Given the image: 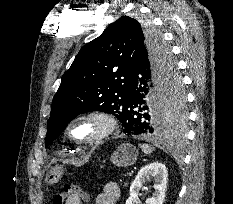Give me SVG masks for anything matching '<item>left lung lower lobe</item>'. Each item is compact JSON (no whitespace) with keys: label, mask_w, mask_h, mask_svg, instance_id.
Returning <instances> with one entry per match:
<instances>
[{"label":"left lung lower lobe","mask_w":233,"mask_h":204,"mask_svg":"<svg viewBox=\"0 0 233 204\" xmlns=\"http://www.w3.org/2000/svg\"><path fill=\"white\" fill-rule=\"evenodd\" d=\"M179 78L181 79L176 66L169 83L170 87ZM166 89V84L148 58V52L141 48L131 67L129 96L123 104L121 122L123 123L124 133L127 135H143L165 134L177 130L182 132L184 121L178 127H170L160 131L164 121L163 107ZM152 104L160 105L161 111L154 112ZM184 105L185 103L183 104L185 109Z\"/></svg>","instance_id":"1"}]
</instances>
